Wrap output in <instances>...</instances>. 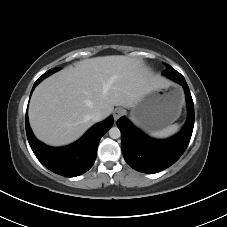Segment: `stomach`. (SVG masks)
Instances as JSON below:
<instances>
[{"label": "stomach", "mask_w": 227, "mask_h": 227, "mask_svg": "<svg viewBox=\"0 0 227 227\" xmlns=\"http://www.w3.org/2000/svg\"><path fill=\"white\" fill-rule=\"evenodd\" d=\"M183 95L179 88L154 89L146 93L133 107L131 120L148 132H155L175 121L181 112Z\"/></svg>", "instance_id": "0dacf381"}]
</instances>
